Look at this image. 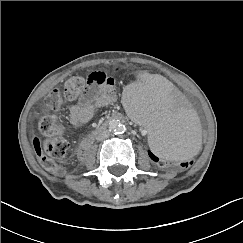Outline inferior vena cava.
Segmentation results:
<instances>
[{
  "label": "inferior vena cava",
  "mask_w": 243,
  "mask_h": 243,
  "mask_svg": "<svg viewBox=\"0 0 243 243\" xmlns=\"http://www.w3.org/2000/svg\"><path fill=\"white\" fill-rule=\"evenodd\" d=\"M109 135H110V132H109L108 130H104V131H101V132L97 135L96 139H97L98 141H100V140H104V139L108 138Z\"/></svg>",
  "instance_id": "inferior-vena-cava-1"
}]
</instances>
